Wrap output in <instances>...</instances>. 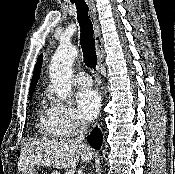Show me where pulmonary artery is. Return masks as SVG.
<instances>
[{
    "label": "pulmonary artery",
    "instance_id": "1",
    "mask_svg": "<svg viewBox=\"0 0 175 174\" xmlns=\"http://www.w3.org/2000/svg\"><path fill=\"white\" fill-rule=\"evenodd\" d=\"M75 82L78 86L89 87L92 84V79L90 75L86 72H79L75 76Z\"/></svg>",
    "mask_w": 175,
    "mask_h": 174
}]
</instances>
